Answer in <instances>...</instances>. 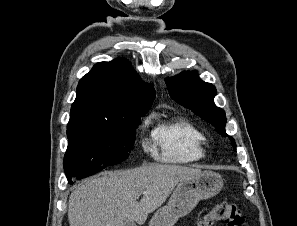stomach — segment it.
Segmentation results:
<instances>
[{
	"instance_id": "stomach-1",
	"label": "stomach",
	"mask_w": 297,
	"mask_h": 226,
	"mask_svg": "<svg viewBox=\"0 0 297 226\" xmlns=\"http://www.w3.org/2000/svg\"><path fill=\"white\" fill-rule=\"evenodd\" d=\"M222 186V177L213 171H203L194 179L179 182L168 204L154 214L149 226H173L180 217L189 214L200 200L218 194Z\"/></svg>"
}]
</instances>
